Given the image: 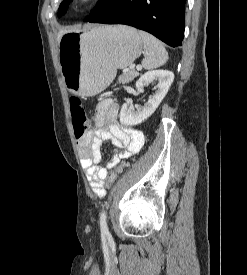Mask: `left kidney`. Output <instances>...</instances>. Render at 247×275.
Instances as JSON below:
<instances>
[{
    "label": "left kidney",
    "instance_id": "5707ae66",
    "mask_svg": "<svg viewBox=\"0 0 247 275\" xmlns=\"http://www.w3.org/2000/svg\"><path fill=\"white\" fill-rule=\"evenodd\" d=\"M173 80L174 74L168 70H152L142 75L136 82V88L141 89L149 83L157 82L156 92L143 107L137 108L136 111L132 101L124 103L120 111V123L124 126H134L150 117L164 99Z\"/></svg>",
    "mask_w": 247,
    "mask_h": 275
}]
</instances>
